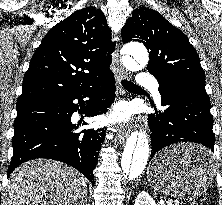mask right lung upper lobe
Masks as SVG:
<instances>
[{
    "label": "right lung upper lobe",
    "mask_w": 222,
    "mask_h": 205,
    "mask_svg": "<svg viewBox=\"0 0 222 205\" xmlns=\"http://www.w3.org/2000/svg\"><path fill=\"white\" fill-rule=\"evenodd\" d=\"M104 13L86 7L56 24L36 49L18 100L68 96L112 73L115 43Z\"/></svg>",
    "instance_id": "1"
}]
</instances>
